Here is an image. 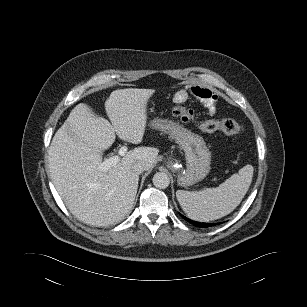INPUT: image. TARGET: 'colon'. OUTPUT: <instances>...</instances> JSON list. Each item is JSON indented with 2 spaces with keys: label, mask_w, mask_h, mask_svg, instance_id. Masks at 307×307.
<instances>
[{
  "label": "colon",
  "mask_w": 307,
  "mask_h": 307,
  "mask_svg": "<svg viewBox=\"0 0 307 307\" xmlns=\"http://www.w3.org/2000/svg\"><path fill=\"white\" fill-rule=\"evenodd\" d=\"M175 116L184 122H194L193 112L187 109L183 104H176L172 108ZM198 128L203 132L221 131L228 135L240 137L244 133L245 127L242 123L232 118L212 119L197 124Z\"/></svg>",
  "instance_id": "colon-1"
}]
</instances>
